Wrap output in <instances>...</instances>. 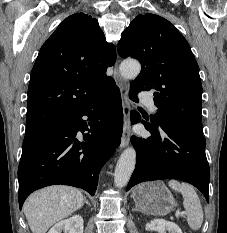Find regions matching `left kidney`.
Returning a JSON list of instances; mask_svg holds the SVG:
<instances>
[{"instance_id": "obj_1", "label": "left kidney", "mask_w": 227, "mask_h": 233, "mask_svg": "<svg viewBox=\"0 0 227 233\" xmlns=\"http://www.w3.org/2000/svg\"><path fill=\"white\" fill-rule=\"evenodd\" d=\"M145 228L146 230H153L158 233H166L167 231L169 233H182V230L177 224L163 219H155L147 223Z\"/></svg>"}]
</instances>
